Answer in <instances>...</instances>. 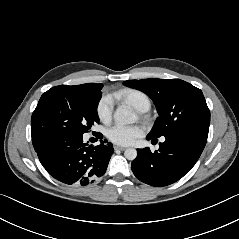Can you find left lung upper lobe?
<instances>
[{"mask_svg": "<svg viewBox=\"0 0 239 239\" xmlns=\"http://www.w3.org/2000/svg\"><path fill=\"white\" fill-rule=\"evenodd\" d=\"M123 84L146 93L157 108L159 117L148 136L186 133L208 137L210 111L200 89L180 79L150 78Z\"/></svg>", "mask_w": 239, "mask_h": 239, "instance_id": "1", "label": "left lung upper lobe"}]
</instances>
